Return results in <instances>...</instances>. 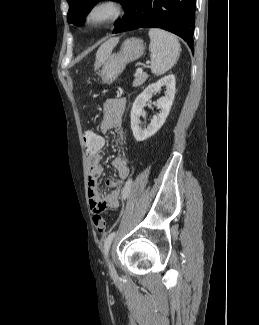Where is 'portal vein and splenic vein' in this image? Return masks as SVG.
I'll return each mask as SVG.
<instances>
[{
	"label": "portal vein and splenic vein",
	"mask_w": 259,
	"mask_h": 325,
	"mask_svg": "<svg viewBox=\"0 0 259 325\" xmlns=\"http://www.w3.org/2000/svg\"><path fill=\"white\" fill-rule=\"evenodd\" d=\"M142 71H143V70H142V68H140V67L137 69V72H138V73H141Z\"/></svg>",
	"instance_id": "portal-vein-and-splenic-vein-1"
}]
</instances>
